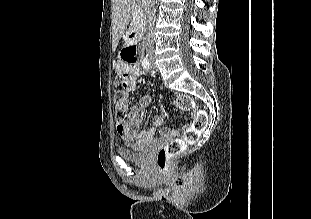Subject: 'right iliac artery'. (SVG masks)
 <instances>
[{
  "instance_id": "obj_1",
  "label": "right iliac artery",
  "mask_w": 311,
  "mask_h": 219,
  "mask_svg": "<svg viewBox=\"0 0 311 219\" xmlns=\"http://www.w3.org/2000/svg\"><path fill=\"white\" fill-rule=\"evenodd\" d=\"M142 66L145 68V69H149L150 68V62L147 58H144L143 61H142Z\"/></svg>"
}]
</instances>
